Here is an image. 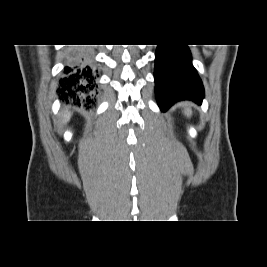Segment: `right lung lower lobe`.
Returning a JSON list of instances; mask_svg holds the SVG:
<instances>
[{"instance_id":"right-lung-lower-lobe-1","label":"right lung lower lobe","mask_w":267,"mask_h":267,"mask_svg":"<svg viewBox=\"0 0 267 267\" xmlns=\"http://www.w3.org/2000/svg\"><path fill=\"white\" fill-rule=\"evenodd\" d=\"M90 57L86 50H70L68 65L63 70L57 92L66 103H92L95 76L90 67Z\"/></svg>"}]
</instances>
